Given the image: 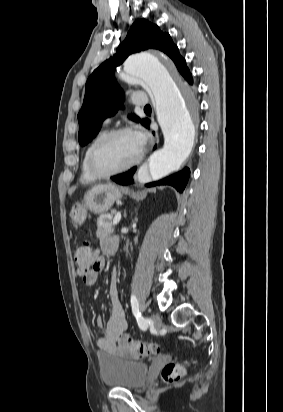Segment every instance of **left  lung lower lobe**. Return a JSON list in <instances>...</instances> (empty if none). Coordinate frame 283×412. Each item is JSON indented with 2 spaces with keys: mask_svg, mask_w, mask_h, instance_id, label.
Here are the masks:
<instances>
[{
  "mask_svg": "<svg viewBox=\"0 0 283 412\" xmlns=\"http://www.w3.org/2000/svg\"><path fill=\"white\" fill-rule=\"evenodd\" d=\"M185 79H186L190 84H192L193 81H192V75H191V73H189V74L185 77ZM145 126L148 127V121H147V123L145 124ZM135 171H136V167L128 170V171L125 172V173H122V174H119V175H116V176H112L111 179H112L113 181H115L116 183H118V184L127 185V184L132 183V176H133V174L135 173ZM189 174H190L189 168H184L183 170H181V171H179V172H177V173H175V174H172V175H170V176H168V177H166V178H164V179H162V180H159V181H156V182H153V183H149V184H147L146 186L171 185V186H173L178 192H183V190H184V188H185V186H186V184H187V181H188V178H189Z\"/></svg>",
  "mask_w": 283,
  "mask_h": 412,
  "instance_id": "obj_1",
  "label": "left lung lower lobe"
}]
</instances>
